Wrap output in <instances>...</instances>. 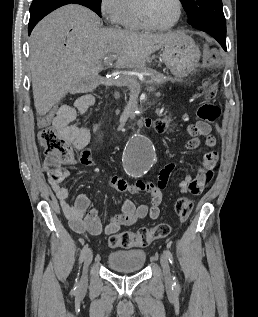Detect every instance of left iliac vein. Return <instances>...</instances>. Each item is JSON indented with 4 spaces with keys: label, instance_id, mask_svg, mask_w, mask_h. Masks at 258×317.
<instances>
[{
    "label": "left iliac vein",
    "instance_id": "obj_1",
    "mask_svg": "<svg viewBox=\"0 0 258 317\" xmlns=\"http://www.w3.org/2000/svg\"><path fill=\"white\" fill-rule=\"evenodd\" d=\"M162 256L164 255L163 253L161 254ZM160 261L163 263V269H164V276H165V278H170V276H171V271H169V269H170V265L167 263V260L165 259V257L163 256V257H161L160 258Z\"/></svg>",
    "mask_w": 258,
    "mask_h": 317
}]
</instances>
